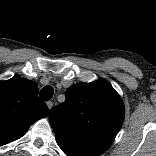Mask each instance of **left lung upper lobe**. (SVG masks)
<instances>
[{"label":"left lung upper lobe","mask_w":156,"mask_h":156,"mask_svg":"<svg viewBox=\"0 0 156 156\" xmlns=\"http://www.w3.org/2000/svg\"><path fill=\"white\" fill-rule=\"evenodd\" d=\"M65 95V102L49 115L57 143L83 156H98L123 123L121 98L105 79L73 85Z\"/></svg>","instance_id":"5c2ea615"}]
</instances>
